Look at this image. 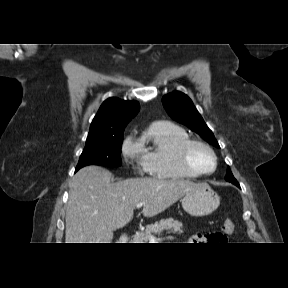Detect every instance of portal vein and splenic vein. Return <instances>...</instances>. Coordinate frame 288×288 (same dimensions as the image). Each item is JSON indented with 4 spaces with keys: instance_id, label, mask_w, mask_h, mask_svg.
<instances>
[{
    "instance_id": "portal-vein-and-splenic-vein-1",
    "label": "portal vein and splenic vein",
    "mask_w": 288,
    "mask_h": 288,
    "mask_svg": "<svg viewBox=\"0 0 288 288\" xmlns=\"http://www.w3.org/2000/svg\"><path fill=\"white\" fill-rule=\"evenodd\" d=\"M142 206H143L142 202L136 204V208H138V209L141 208ZM149 240L154 241V240H156V238L154 236H151Z\"/></svg>"
}]
</instances>
